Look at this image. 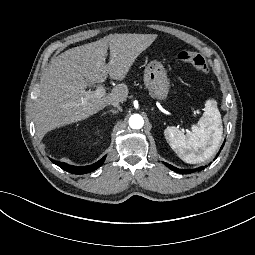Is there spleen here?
I'll return each instance as SVG.
<instances>
[{"label": "spleen", "instance_id": "obj_1", "mask_svg": "<svg viewBox=\"0 0 255 255\" xmlns=\"http://www.w3.org/2000/svg\"><path fill=\"white\" fill-rule=\"evenodd\" d=\"M204 107L202 123L191 125V131L187 135L174 127L164 130L165 140L186 163H199L209 159L221 141L222 122L216 100L208 99Z\"/></svg>", "mask_w": 255, "mask_h": 255}]
</instances>
